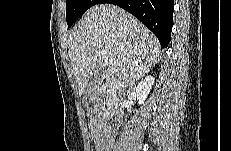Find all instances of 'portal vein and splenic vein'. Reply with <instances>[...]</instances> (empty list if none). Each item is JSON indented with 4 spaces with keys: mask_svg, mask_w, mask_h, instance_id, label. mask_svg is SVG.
Returning <instances> with one entry per match:
<instances>
[{
    "mask_svg": "<svg viewBox=\"0 0 231 151\" xmlns=\"http://www.w3.org/2000/svg\"><path fill=\"white\" fill-rule=\"evenodd\" d=\"M101 57H102V59H104V61L107 62L108 64H115L114 60L111 59V58L108 56L107 52L102 51V52H101Z\"/></svg>",
    "mask_w": 231,
    "mask_h": 151,
    "instance_id": "1",
    "label": "portal vein and splenic vein"
}]
</instances>
